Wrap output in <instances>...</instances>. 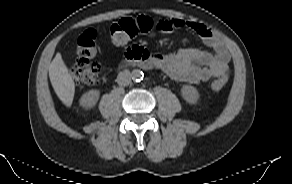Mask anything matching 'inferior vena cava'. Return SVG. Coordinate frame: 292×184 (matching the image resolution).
Listing matches in <instances>:
<instances>
[{"mask_svg":"<svg viewBox=\"0 0 292 184\" xmlns=\"http://www.w3.org/2000/svg\"><path fill=\"white\" fill-rule=\"evenodd\" d=\"M131 82V73L128 70L122 71L117 76V83L121 86H127Z\"/></svg>","mask_w":292,"mask_h":184,"instance_id":"obj_1","label":"inferior vena cava"}]
</instances>
